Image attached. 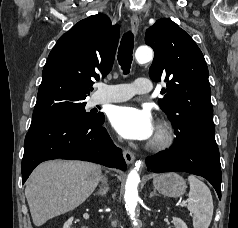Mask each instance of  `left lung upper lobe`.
Returning <instances> with one entry per match:
<instances>
[{
    "label": "left lung upper lobe",
    "mask_w": 238,
    "mask_h": 228,
    "mask_svg": "<svg viewBox=\"0 0 238 228\" xmlns=\"http://www.w3.org/2000/svg\"><path fill=\"white\" fill-rule=\"evenodd\" d=\"M145 42L154 50L149 76L167 82L158 104L175 133L215 132L208 68L193 39L176 23L162 18L147 29Z\"/></svg>",
    "instance_id": "left-lung-upper-lobe-1"
}]
</instances>
